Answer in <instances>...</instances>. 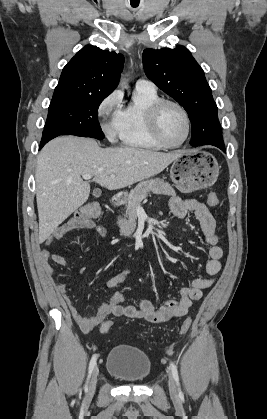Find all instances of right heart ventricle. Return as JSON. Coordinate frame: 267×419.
I'll return each mask as SVG.
<instances>
[{
  "mask_svg": "<svg viewBox=\"0 0 267 419\" xmlns=\"http://www.w3.org/2000/svg\"><path fill=\"white\" fill-rule=\"evenodd\" d=\"M159 99L156 89L136 88L131 102L120 108L117 118L118 136L123 145L145 150L163 148L152 137L147 124L148 109Z\"/></svg>",
  "mask_w": 267,
  "mask_h": 419,
  "instance_id": "obj_1",
  "label": "right heart ventricle"
}]
</instances>
